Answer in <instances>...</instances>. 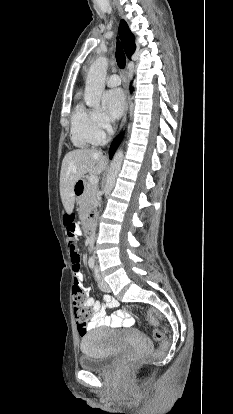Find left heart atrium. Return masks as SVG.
Here are the masks:
<instances>
[{"label":"left heart atrium","mask_w":233,"mask_h":414,"mask_svg":"<svg viewBox=\"0 0 233 414\" xmlns=\"http://www.w3.org/2000/svg\"><path fill=\"white\" fill-rule=\"evenodd\" d=\"M103 101L112 118L121 116L125 106V96L121 89H111L104 94Z\"/></svg>","instance_id":"left-heart-atrium-1"}]
</instances>
